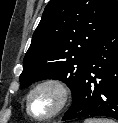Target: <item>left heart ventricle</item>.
<instances>
[{"instance_id":"1","label":"left heart ventricle","mask_w":118,"mask_h":123,"mask_svg":"<svg viewBox=\"0 0 118 123\" xmlns=\"http://www.w3.org/2000/svg\"><path fill=\"white\" fill-rule=\"evenodd\" d=\"M58 99V94L54 89H41L30 100L31 111L37 116H46L55 109Z\"/></svg>"}]
</instances>
